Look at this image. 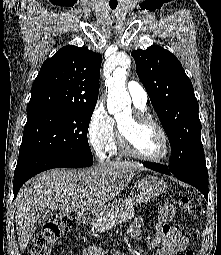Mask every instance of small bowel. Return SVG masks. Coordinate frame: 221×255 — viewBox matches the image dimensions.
<instances>
[{
    "label": "small bowel",
    "mask_w": 221,
    "mask_h": 255,
    "mask_svg": "<svg viewBox=\"0 0 221 255\" xmlns=\"http://www.w3.org/2000/svg\"><path fill=\"white\" fill-rule=\"evenodd\" d=\"M142 228V219L136 218L130 224L127 234L130 237H137ZM150 246L155 250L154 255H181L188 246V240L182 235L178 224H168L164 230L159 227ZM82 255H104V250L100 246L92 245L85 248Z\"/></svg>",
    "instance_id": "1"
}]
</instances>
